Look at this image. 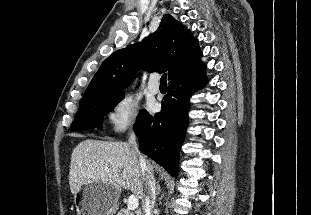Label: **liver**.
<instances>
[{
  "label": "liver",
  "mask_w": 311,
  "mask_h": 215,
  "mask_svg": "<svg viewBox=\"0 0 311 215\" xmlns=\"http://www.w3.org/2000/svg\"><path fill=\"white\" fill-rule=\"evenodd\" d=\"M150 169L152 165L147 162ZM90 181L112 184L121 192L130 190L138 199L144 198L145 177L129 143L86 139L73 150L69 185L73 195Z\"/></svg>",
  "instance_id": "1"
}]
</instances>
